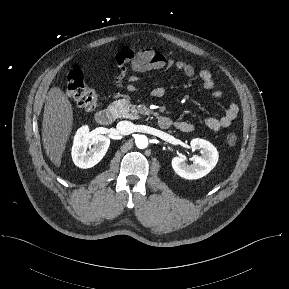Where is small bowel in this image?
I'll return each mask as SVG.
<instances>
[{"label":"small bowel","mask_w":289,"mask_h":289,"mask_svg":"<svg viewBox=\"0 0 289 289\" xmlns=\"http://www.w3.org/2000/svg\"><path fill=\"white\" fill-rule=\"evenodd\" d=\"M115 60L118 73L114 78V82L118 88H123L124 81L127 79L129 82L127 90L130 92L137 90L135 83L138 81V76H128L129 67L137 73L174 68L188 78L198 77L202 82L203 88L209 93L211 98L220 99L223 96V92L216 89L212 73L209 70H201L197 73L191 64L180 60L168 59L152 48L140 50L124 49L116 54ZM165 92V88L156 87L152 90L151 94L156 98H160L165 95ZM238 113L239 106L236 103H231L223 115L206 118L203 121V125L213 132H218L221 129L229 127ZM174 126L182 132H190L194 128L191 123L179 120L174 122Z\"/></svg>","instance_id":"1"}]
</instances>
